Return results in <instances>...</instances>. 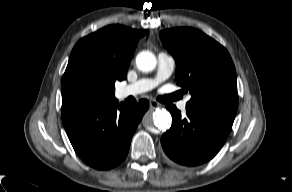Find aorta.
<instances>
[{"label":"aorta","instance_id":"aorta-1","mask_svg":"<svg viewBox=\"0 0 292 192\" xmlns=\"http://www.w3.org/2000/svg\"><path fill=\"white\" fill-rule=\"evenodd\" d=\"M157 59L155 55L150 51L140 52L136 57V65L142 72H151L155 69ZM172 123L171 114L164 110H156L152 116H146L143 119V125L149 129H158L160 131H166L170 128Z\"/></svg>","mask_w":292,"mask_h":192}]
</instances>
